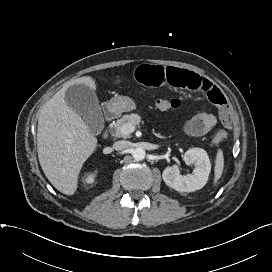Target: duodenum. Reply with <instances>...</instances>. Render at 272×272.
I'll use <instances>...</instances> for the list:
<instances>
[{
    "label": "duodenum",
    "mask_w": 272,
    "mask_h": 272,
    "mask_svg": "<svg viewBox=\"0 0 272 272\" xmlns=\"http://www.w3.org/2000/svg\"><path fill=\"white\" fill-rule=\"evenodd\" d=\"M103 116L106 122H111L115 118V111L112 108H105L103 112ZM103 136H107V132H103Z\"/></svg>",
    "instance_id": "duodenum-1"
}]
</instances>
